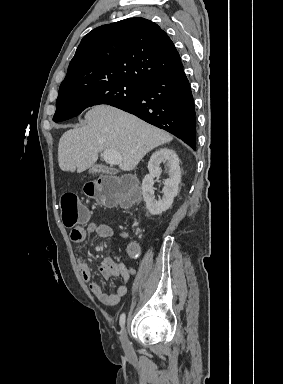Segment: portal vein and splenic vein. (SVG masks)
I'll use <instances>...</instances> for the list:
<instances>
[{"instance_id": "1", "label": "portal vein and splenic vein", "mask_w": 283, "mask_h": 384, "mask_svg": "<svg viewBox=\"0 0 283 384\" xmlns=\"http://www.w3.org/2000/svg\"><path fill=\"white\" fill-rule=\"evenodd\" d=\"M103 158L107 164H120L122 162V156L117 150H105Z\"/></svg>"}]
</instances>
